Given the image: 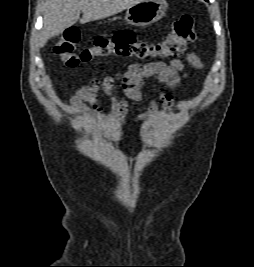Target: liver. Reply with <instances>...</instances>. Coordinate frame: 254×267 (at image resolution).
Masks as SVG:
<instances>
[{
  "mask_svg": "<svg viewBox=\"0 0 254 267\" xmlns=\"http://www.w3.org/2000/svg\"><path fill=\"white\" fill-rule=\"evenodd\" d=\"M143 0H46L44 24L39 37V46L59 35L83 17L81 24L118 14Z\"/></svg>",
  "mask_w": 254,
  "mask_h": 267,
  "instance_id": "1",
  "label": "liver"
}]
</instances>
